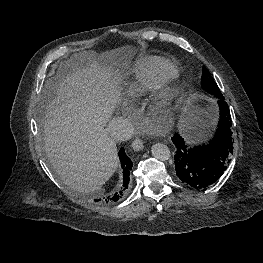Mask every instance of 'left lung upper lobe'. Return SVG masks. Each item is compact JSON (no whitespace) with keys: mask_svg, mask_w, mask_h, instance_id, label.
I'll return each mask as SVG.
<instances>
[{"mask_svg":"<svg viewBox=\"0 0 263 263\" xmlns=\"http://www.w3.org/2000/svg\"><path fill=\"white\" fill-rule=\"evenodd\" d=\"M201 85L205 91L208 93L218 97L221 96L222 93L220 92L216 82L211 77L209 71L206 67H203L202 77H201Z\"/></svg>","mask_w":263,"mask_h":263,"instance_id":"left-lung-upper-lobe-1","label":"left lung upper lobe"}]
</instances>
